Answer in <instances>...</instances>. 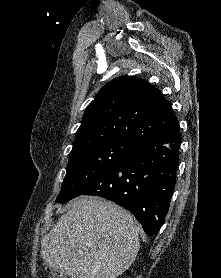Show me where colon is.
<instances>
[{
  "mask_svg": "<svg viewBox=\"0 0 221 278\" xmlns=\"http://www.w3.org/2000/svg\"><path fill=\"white\" fill-rule=\"evenodd\" d=\"M48 278H67V277L57 270H50L48 273Z\"/></svg>",
  "mask_w": 221,
  "mask_h": 278,
  "instance_id": "5ec220e1",
  "label": "colon"
}]
</instances>
